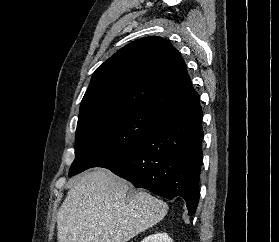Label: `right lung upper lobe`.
Masks as SVG:
<instances>
[{
    "label": "right lung upper lobe",
    "mask_w": 279,
    "mask_h": 242,
    "mask_svg": "<svg viewBox=\"0 0 279 242\" xmlns=\"http://www.w3.org/2000/svg\"><path fill=\"white\" fill-rule=\"evenodd\" d=\"M198 97L174 46L161 37H144L126 45L96 69L79 117L125 109L159 114Z\"/></svg>",
    "instance_id": "obj_1"
}]
</instances>
